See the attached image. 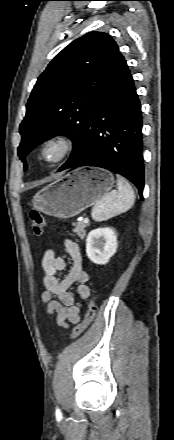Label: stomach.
<instances>
[{
  "label": "stomach",
  "instance_id": "stomach-1",
  "mask_svg": "<svg viewBox=\"0 0 174 440\" xmlns=\"http://www.w3.org/2000/svg\"><path fill=\"white\" fill-rule=\"evenodd\" d=\"M113 185L114 176L105 169L78 168L36 193L32 205L42 213L67 219L97 203Z\"/></svg>",
  "mask_w": 174,
  "mask_h": 440
}]
</instances>
